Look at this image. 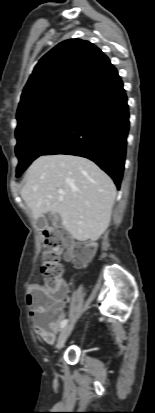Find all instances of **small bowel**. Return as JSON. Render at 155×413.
Listing matches in <instances>:
<instances>
[{
  "instance_id": "c3829d8e",
  "label": "small bowel",
  "mask_w": 155,
  "mask_h": 413,
  "mask_svg": "<svg viewBox=\"0 0 155 413\" xmlns=\"http://www.w3.org/2000/svg\"><path fill=\"white\" fill-rule=\"evenodd\" d=\"M40 293L49 295V292L45 290L42 285L35 283L30 286L29 292L27 295V303L30 306L31 315L33 317L34 329L36 333L47 343L54 344L56 336L61 327V323L64 319L65 313V303L63 301L53 302L55 308L54 313L49 317L47 322L44 325H41L39 320V313L35 308V299L36 296Z\"/></svg>"
}]
</instances>
